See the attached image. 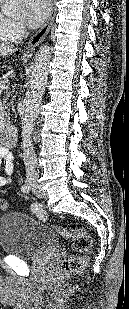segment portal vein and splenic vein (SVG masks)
Wrapping results in <instances>:
<instances>
[{
	"instance_id": "18ae733b",
	"label": "portal vein and splenic vein",
	"mask_w": 129,
	"mask_h": 309,
	"mask_svg": "<svg viewBox=\"0 0 129 309\" xmlns=\"http://www.w3.org/2000/svg\"><path fill=\"white\" fill-rule=\"evenodd\" d=\"M0 87H1V88H5V89H8V88H9V84L2 83V84H0Z\"/></svg>"
}]
</instances>
